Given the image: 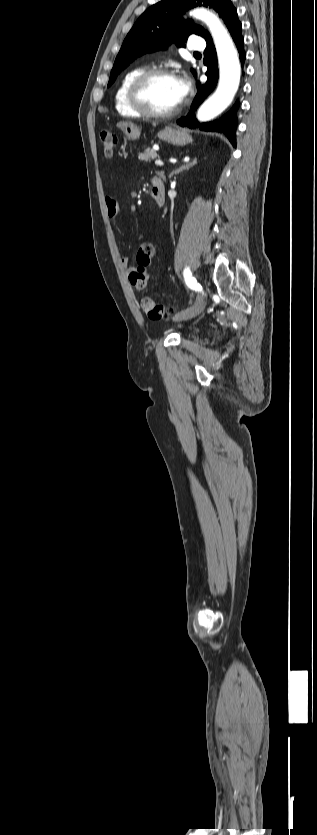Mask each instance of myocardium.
Masks as SVG:
<instances>
[{"instance_id":"f54148a6","label":"myocardium","mask_w":317,"mask_h":835,"mask_svg":"<svg viewBox=\"0 0 317 835\" xmlns=\"http://www.w3.org/2000/svg\"><path fill=\"white\" fill-rule=\"evenodd\" d=\"M157 77H173V73L166 68H152L146 69L138 75L131 83L128 90V98L131 106L139 112L142 116L147 118L162 119L169 118L177 114L181 108L180 102L172 109L167 111H156L149 106L145 100V90L150 82Z\"/></svg>"}]
</instances>
